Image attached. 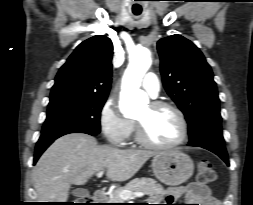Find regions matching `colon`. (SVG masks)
<instances>
[{"mask_svg":"<svg viewBox=\"0 0 253 205\" xmlns=\"http://www.w3.org/2000/svg\"><path fill=\"white\" fill-rule=\"evenodd\" d=\"M197 178L201 184H208L216 179V173L209 161L202 160L198 164ZM74 205H91V199L89 197L78 198L76 199Z\"/></svg>","mask_w":253,"mask_h":205,"instance_id":"colon-1","label":"colon"}]
</instances>
